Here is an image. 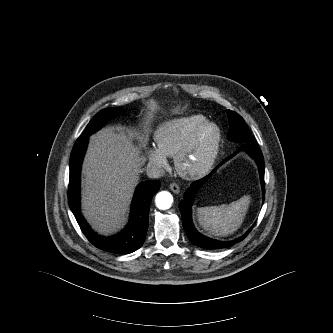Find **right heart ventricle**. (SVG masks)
Here are the masks:
<instances>
[{
	"instance_id": "e07e8e85",
	"label": "right heart ventricle",
	"mask_w": 333,
	"mask_h": 333,
	"mask_svg": "<svg viewBox=\"0 0 333 333\" xmlns=\"http://www.w3.org/2000/svg\"><path fill=\"white\" fill-rule=\"evenodd\" d=\"M207 121L201 114L188 115L160 124L154 132L158 150L166 157H175L194 132Z\"/></svg>"
}]
</instances>
